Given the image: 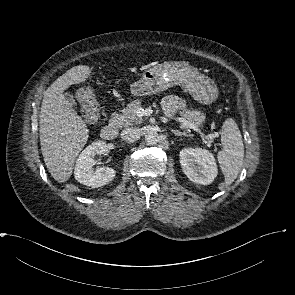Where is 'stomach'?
I'll use <instances>...</instances> for the list:
<instances>
[{
    "mask_svg": "<svg viewBox=\"0 0 295 295\" xmlns=\"http://www.w3.org/2000/svg\"><path fill=\"white\" fill-rule=\"evenodd\" d=\"M179 85L196 101L211 104L218 89L213 80L186 62H164L146 69L142 78L131 86L133 96H147Z\"/></svg>",
    "mask_w": 295,
    "mask_h": 295,
    "instance_id": "1",
    "label": "stomach"
}]
</instances>
